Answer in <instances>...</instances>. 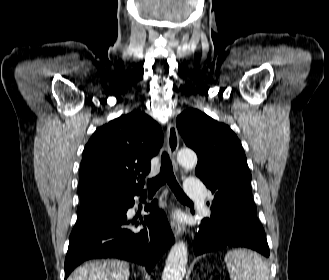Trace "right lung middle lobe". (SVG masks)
<instances>
[{
	"label": "right lung middle lobe",
	"instance_id": "right-lung-middle-lobe-1",
	"mask_svg": "<svg viewBox=\"0 0 329 280\" xmlns=\"http://www.w3.org/2000/svg\"><path fill=\"white\" fill-rule=\"evenodd\" d=\"M97 198L95 199H88V200H81V205H80V210H82L83 208L89 206L90 204H92L94 201H96Z\"/></svg>",
	"mask_w": 329,
	"mask_h": 280
}]
</instances>
